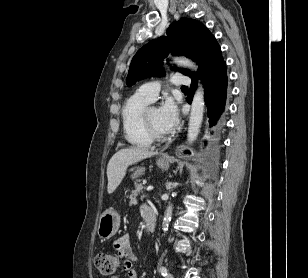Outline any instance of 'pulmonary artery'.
I'll use <instances>...</instances> for the list:
<instances>
[{"label":"pulmonary artery","instance_id":"e3ab8cb5","mask_svg":"<svg viewBox=\"0 0 308 278\" xmlns=\"http://www.w3.org/2000/svg\"><path fill=\"white\" fill-rule=\"evenodd\" d=\"M172 83L175 86H188L191 83V80L188 76L177 74L172 78ZM159 91L160 84L158 82H149L140 86L137 93L152 102L156 100Z\"/></svg>","mask_w":308,"mask_h":278}]
</instances>
